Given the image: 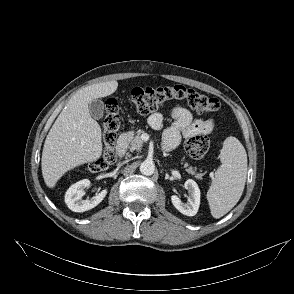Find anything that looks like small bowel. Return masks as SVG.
<instances>
[{
    "instance_id": "c3829d8e",
    "label": "small bowel",
    "mask_w": 294,
    "mask_h": 294,
    "mask_svg": "<svg viewBox=\"0 0 294 294\" xmlns=\"http://www.w3.org/2000/svg\"><path fill=\"white\" fill-rule=\"evenodd\" d=\"M170 116L173 119V124L163 133L165 150H172L177 147L181 138L207 135L216 128V122L213 119H194L191 112L181 105L173 106L170 110ZM148 123L155 130L161 129L163 127V115L159 112L150 115Z\"/></svg>"
}]
</instances>
